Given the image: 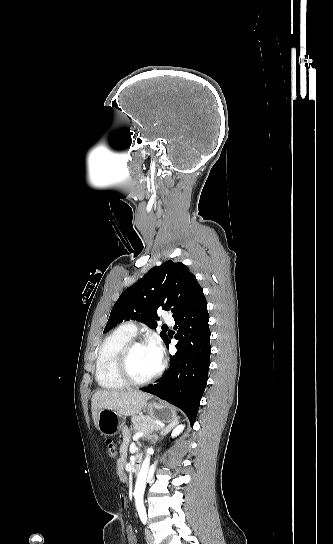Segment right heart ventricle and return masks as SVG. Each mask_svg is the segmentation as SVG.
<instances>
[{
	"label": "right heart ventricle",
	"instance_id": "e07e8e85",
	"mask_svg": "<svg viewBox=\"0 0 333 544\" xmlns=\"http://www.w3.org/2000/svg\"><path fill=\"white\" fill-rule=\"evenodd\" d=\"M133 337L121 326L102 341L95 366V378L101 388L119 390L127 386L118 374L117 360L123 346Z\"/></svg>",
	"mask_w": 333,
	"mask_h": 544
}]
</instances>
